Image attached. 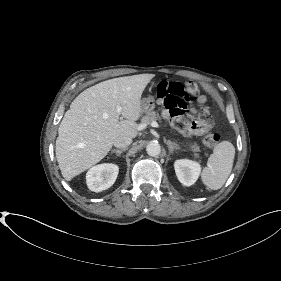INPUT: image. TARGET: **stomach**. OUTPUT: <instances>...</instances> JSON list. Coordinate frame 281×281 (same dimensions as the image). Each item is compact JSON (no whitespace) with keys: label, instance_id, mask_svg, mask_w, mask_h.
<instances>
[{"label":"stomach","instance_id":"1","mask_svg":"<svg viewBox=\"0 0 281 281\" xmlns=\"http://www.w3.org/2000/svg\"><path fill=\"white\" fill-rule=\"evenodd\" d=\"M155 108L154 99L152 97L144 98L141 100V111L147 113Z\"/></svg>","mask_w":281,"mask_h":281}]
</instances>
